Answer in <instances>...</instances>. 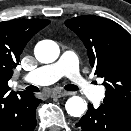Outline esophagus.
<instances>
[{"mask_svg":"<svg viewBox=\"0 0 131 131\" xmlns=\"http://www.w3.org/2000/svg\"><path fill=\"white\" fill-rule=\"evenodd\" d=\"M71 94L72 93L66 92V91H54L52 93V97L61 98V97L68 96V95H71Z\"/></svg>","mask_w":131,"mask_h":131,"instance_id":"34e87169","label":"esophagus"}]
</instances>
